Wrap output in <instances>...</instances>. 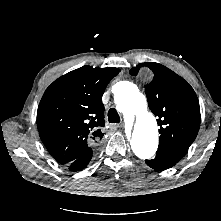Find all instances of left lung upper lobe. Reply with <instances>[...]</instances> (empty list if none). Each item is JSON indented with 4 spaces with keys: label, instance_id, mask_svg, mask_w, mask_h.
Here are the masks:
<instances>
[{
    "label": "left lung upper lobe",
    "instance_id": "obj_1",
    "mask_svg": "<svg viewBox=\"0 0 221 221\" xmlns=\"http://www.w3.org/2000/svg\"><path fill=\"white\" fill-rule=\"evenodd\" d=\"M141 66H147L154 73L145 93L160 126L158 150L185 155L200 127L198 98L183 78L161 64L141 63L132 68L130 74L137 75Z\"/></svg>",
    "mask_w": 221,
    "mask_h": 221
}]
</instances>
